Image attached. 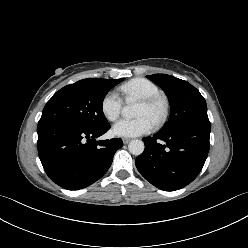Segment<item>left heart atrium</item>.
Listing matches in <instances>:
<instances>
[{
    "mask_svg": "<svg viewBox=\"0 0 248 248\" xmlns=\"http://www.w3.org/2000/svg\"><path fill=\"white\" fill-rule=\"evenodd\" d=\"M153 128V122L146 116H138L133 119H121L112 128L113 133L119 137H136L149 133Z\"/></svg>",
    "mask_w": 248,
    "mask_h": 248,
    "instance_id": "left-heart-atrium-1",
    "label": "left heart atrium"
}]
</instances>
